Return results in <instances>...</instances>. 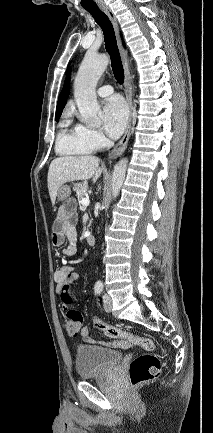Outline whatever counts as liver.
<instances>
[{"label":"liver","instance_id":"1","mask_svg":"<svg viewBox=\"0 0 213 433\" xmlns=\"http://www.w3.org/2000/svg\"><path fill=\"white\" fill-rule=\"evenodd\" d=\"M102 173L99 158L92 155L64 156L54 159L48 170V190L52 204L55 203L59 188L67 183L93 178L97 180Z\"/></svg>","mask_w":213,"mask_h":433}]
</instances>
